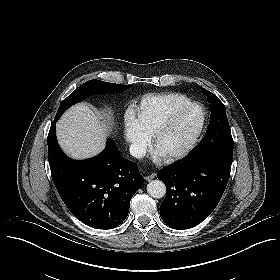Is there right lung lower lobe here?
Instances as JSON below:
<instances>
[{"label": "right lung lower lobe", "mask_w": 280, "mask_h": 280, "mask_svg": "<svg viewBox=\"0 0 280 280\" xmlns=\"http://www.w3.org/2000/svg\"><path fill=\"white\" fill-rule=\"evenodd\" d=\"M55 124L54 119L47 143L51 175L61 199L88 226H119L128 215L132 196L143 185L137 165L124 158L111 139L100 155L72 160L57 143Z\"/></svg>", "instance_id": "1"}]
</instances>
